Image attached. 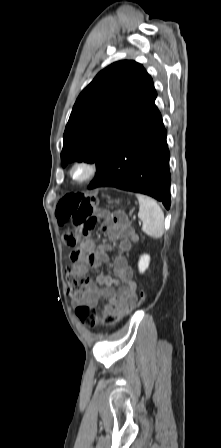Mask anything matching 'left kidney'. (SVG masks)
I'll return each instance as SVG.
<instances>
[{"mask_svg":"<svg viewBox=\"0 0 221 448\" xmlns=\"http://www.w3.org/2000/svg\"><path fill=\"white\" fill-rule=\"evenodd\" d=\"M150 263V256L147 254H144L140 257L138 268L140 273H144L145 270L149 267Z\"/></svg>","mask_w":221,"mask_h":448,"instance_id":"1","label":"left kidney"}]
</instances>
